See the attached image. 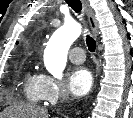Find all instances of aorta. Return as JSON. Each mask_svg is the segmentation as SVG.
Instances as JSON below:
<instances>
[{"label": "aorta", "instance_id": "1", "mask_svg": "<svg viewBox=\"0 0 133 118\" xmlns=\"http://www.w3.org/2000/svg\"><path fill=\"white\" fill-rule=\"evenodd\" d=\"M81 25L75 21L66 22L55 31L51 37L45 52L44 64L55 78L61 79L67 62V54L70 46L80 36Z\"/></svg>", "mask_w": 133, "mask_h": 118}]
</instances>
